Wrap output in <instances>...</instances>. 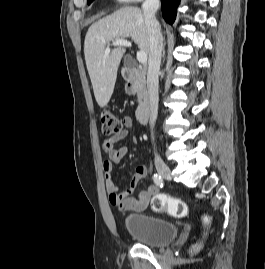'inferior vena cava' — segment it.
I'll return each instance as SVG.
<instances>
[{
    "label": "inferior vena cava",
    "mask_w": 265,
    "mask_h": 269,
    "mask_svg": "<svg viewBox=\"0 0 265 269\" xmlns=\"http://www.w3.org/2000/svg\"><path fill=\"white\" fill-rule=\"evenodd\" d=\"M159 0H145L142 4L143 15L148 27L150 36V51L148 60V72H147V87L149 95V123L151 126V136L154 140L153 128L157 119L158 113V87H159V70L161 65V57L163 50V36L159 23L155 17V13L159 9ZM155 158L159 159V156L155 153Z\"/></svg>",
    "instance_id": "obj_1"
}]
</instances>
